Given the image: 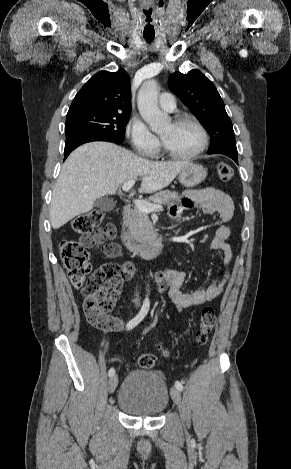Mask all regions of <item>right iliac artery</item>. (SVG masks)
<instances>
[{"label": "right iliac artery", "mask_w": 291, "mask_h": 469, "mask_svg": "<svg viewBox=\"0 0 291 469\" xmlns=\"http://www.w3.org/2000/svg\"><path fill=\"white\" fill-rule=\"evenodd\" d=\"M149 306H150V301L148 298H146L138 314L127 323V326H126L127 330L133 329L136 325H138L144 319V317L147 315L149 311ZM108 374L110 377L113 376L115 374V369L111 368Z\"/></svg>", "instance_id": "right-iliac-artery-1"}]
</instances>
